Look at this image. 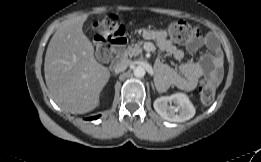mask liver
I'll return each mask as SVG.
<instances>
[{"label":"liver","instance_id":"1","mask_svg":"<svg viewBox=\"0 0 261 162\" xmlns=\"http://www.w3.org/2000/svg\"><path fill=\"white\" fill-rule=\"evenodd\" d=\"M87 15L62 22L52 36L44 61L46 85L54 101L67 111L84 114L99 104L109 80L107 67L94 57V47L83 33Z\"/></svg>","mask_w":261,"mask_h":162}]
</instances>
